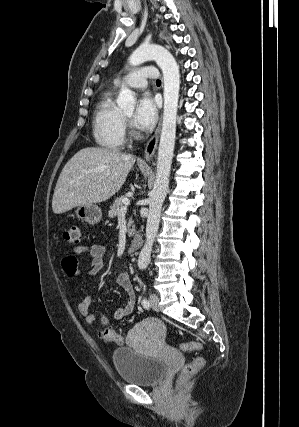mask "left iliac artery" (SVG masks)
Returning a JSON list of instances; mask_svg holds the SVG:
<instances>
[{
	"label": "left iliac artery",
	"instance_id": "obj_1",
	"mask_svg": "<svg viewBox=\"0 0 299 427\" xmlns=\"http://www.w3.org/2000/svg\"><path fill=\"white\" fill-rule=\"evenodd\" d=\"M141 303H142V306L146 309L150 307V303L146 298H143Z\"/></svg>",
	"mask_w": 299,
	"mask_h": 427
}]
</instances>
